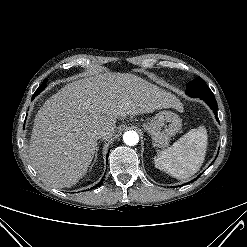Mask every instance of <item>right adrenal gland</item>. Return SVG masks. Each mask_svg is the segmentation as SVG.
I'll return each instance as SVG.
<instances>
[{"instance_id":"obj_1","label":"right adrenal gland","mask_w":247,"mask_h":247,"mask_svg":"<svg viewBox=\"0 0 247 247\" xmlns=\"http://www.w3.org/2000/svg\"><path fill=\"white\" fill-rule=\"evenodd\" d=\"M97 151H98V149H97ZM97 151H96L95 158H94V162H93L92 166L94 165V163H95V161H96V159H97ZM92 166H91V168H92Z\"/></svg>"}]
</instances>
